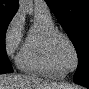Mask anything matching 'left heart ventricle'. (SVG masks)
Here are the masks:
<instances>
[{
  "label": "left heart ventricle",
  "mask_w": 89,
  "mask_h": 89,
  "mask_svg": "<svg viewBox=\"0 0 89 89\" xmlns=\"http://www.w3.org/2000/svg\"><path fill=\"white\" fill-rule=\"evenodd\" d=\"M57 54L60 63L64 69L73 68L75 65V56L71 47L64 40L57 43Z\"/></svg>",
  "instance_id": "1"
}]
</instances>
